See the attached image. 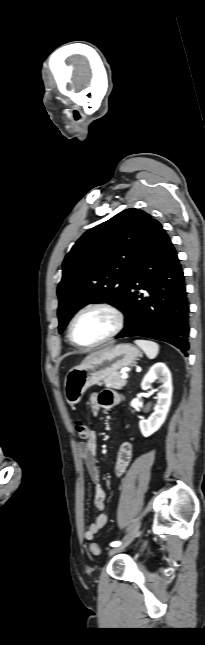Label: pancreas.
<instances>
[{
    "label": "pancreas",
    "instance_id": "1",
    "mask_svg": "<svg viewBox=\"0 0 205 645\" xmlns=\"http://www.w3.org/2000/svg\"><path fill=\"white\" fill-rule=\"evenodd\" d=\"M127 381L125 379H122V375L119 373H114L108 377H106L103 382L98 383V385H105L108 388H113V389H122L126 385Z\"/></svg>",
    "mask_w": 205,
    "mask_h": 645
}]
</instances>
